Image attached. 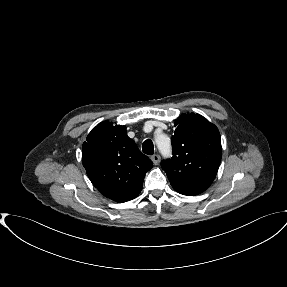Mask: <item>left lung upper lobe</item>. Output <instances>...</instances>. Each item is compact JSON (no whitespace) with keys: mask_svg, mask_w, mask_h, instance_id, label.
Returning a JSON list of instances; mask_svg holds the SVG:
<instances>
[{"mask_svg":"<svg viewBox=\"0 0 287 287\" xmlns=\"http://www.w3.org/2000/svg\"><path fill=\"white\" fill-rule=\"evenodd\" d=\"M171 138L173 157L161 162L172 187L180 194L193 196L213 182L222 157L220 133L199 114H182L175 120Z\"/></svg>","mask_w":287,"mask_h":287,"instance_id":"1","label":"left lung upper lobe"}]
</instances>
